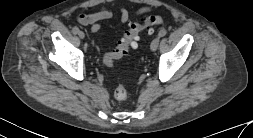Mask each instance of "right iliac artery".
I'll list each match as a JSON object with an SVG mask.
<instances>
[{
  "instance_id": "obj_1",
  "label": "right iliac artery",
  "mask_w": 253,
  "mask_h": 138,
  "mask_svg": "<svg viewBox=\"0 0 253 138\" xmlns=\"http://www.w3.org/2000/svg\"><path fill=\"white\" fill-rule=\"evenodd\" d=\"M71 31L74 33V34H77V31H78V28L76 26H73L71 28Z\"/></svg>"
}]
</instances>
